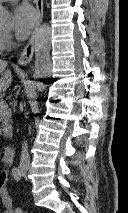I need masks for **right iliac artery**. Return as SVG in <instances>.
Returning a JSON list of instances; mask_svg holds the SVG:
<instances>
[{
    "label": "right iliac artery",
    "mask_w": 128,
    "mask_h": 213,
    "mask_svg": "<svg viewBox=\"0 0 128 213\" xmlns=\"http://www.w3.org/2000/svg\"><path fill=\"white\" fill-rule=\"evenodd\" d=\"M12 176L16 181L21 180V171L18 167L12 169Z\"/></svg>",
    "instance_id": "obj_1"
}]
</instances>
